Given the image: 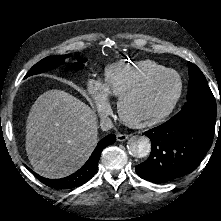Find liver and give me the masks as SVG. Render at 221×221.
Here are the masks:
<instances>
[{
	"label": "liver",
	"mask_w": 221,
	"mask_h": 221,
	"mask_svg": "<svg viewBox=\"0 0 221 221\" xmlns=\"http://www.w3.org/2000/svg\"><path fill=\"white\" fill-rule=\"evenodd\" d=\"M98 136L95 112L73 95L52 89L32 105L26 124V152L39 175L57 179L77 171Z\"/></svg>",
	"instance_id": "1"
}]
</instances>
